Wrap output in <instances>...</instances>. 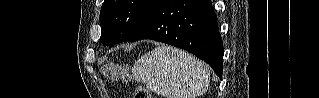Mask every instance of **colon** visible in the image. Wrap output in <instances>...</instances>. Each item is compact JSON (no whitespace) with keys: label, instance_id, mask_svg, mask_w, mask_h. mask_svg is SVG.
I'll return each instance as SVG.
<instances>
[{"label":"colon","instance_id":"1","mask_svg":"<svg viewBox=\"0 0 319 98\" xmlns=\"http://www.w3.org/2000/svg\"><path fill=\"white\" fill-rule=\"evenodd\" d=\"M112 69L113 68L111 66L107 67L108 72H112ZM135 98H151V95H150V92L148 91V89L146 87L142 86L136 90Z\"/></svg>","mask_w":319,"mask_h":98}]
</instances>
